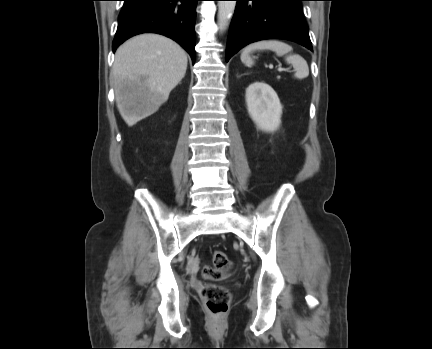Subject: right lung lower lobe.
I'll use <instances>...</instances> for the list:
<instances>
[{
	"mask_svg": "<svg viewBox=\"0 0 432 349\" xmlns=\"http://www.w3.org/2000/svg\"><path fill=\"white\" fill-rule=\"evenodd\" d=\"M113 52L128 38L158 33L178 42L195 62V19L199 0H123Z\"/></svg>",
	"mask_w": 432,
	"mask_h": 349,
	"instance_id": "obj_1",
	"label": "right lung lower lobe"
}]
</instances>
